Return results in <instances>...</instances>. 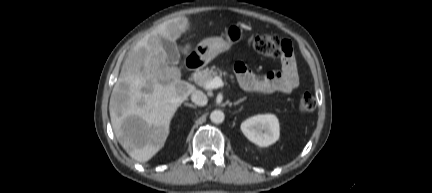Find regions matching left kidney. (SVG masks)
Masks as SVG:
<instances>
[{"mask_svg": "<svg viewBox=\"0 0 432 193\" xmlns=\"http://www.w3.org/2000/svg\"><path fill=\"white\" fill-rule=\"evenodd\" d=\"M241 131L251 142L267 147L279 139V121L273 114H258L243 121Z\"/></svg>", "mask_w": 432, "mask_h": 193, "instance_id": "1", "label": "left kidney"}]
</instances>
